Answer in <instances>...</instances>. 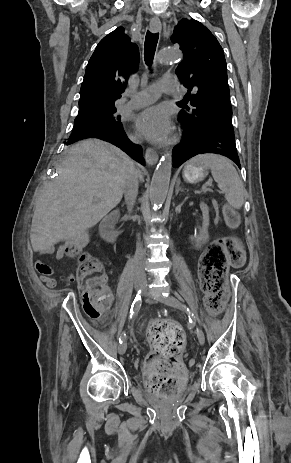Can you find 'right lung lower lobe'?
Instances as JSON below:
<instances>
[{
    "mask_svg": "<svg viewBox=\"0 0 291 463\" xmlns=\"http://www.w3.org/2000/svg\"><path fill=\"white\" fill-rule=\"evenodd\" d=\"M86 138H99L110 142L117 147L121 148L125 151L131 158L139 162L140 164L144 165L145 161L142 157V148L140 145L133 144L127 138L123 128L110 130V131H97L91 132L76 138L68 139L67 145L72 144L78 140L86 139Z\"/></svg>",
    "mask_w": 291,
    "mask_h": 463,
    "instance_id": "obj_1",
    "label": "right lung lower lobe"
}]
</instances>
